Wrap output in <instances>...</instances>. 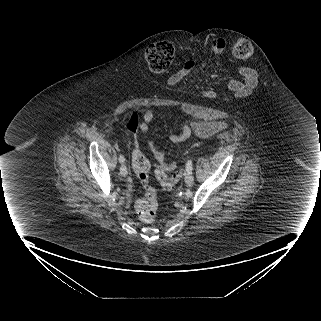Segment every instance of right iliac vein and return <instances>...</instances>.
<instances>
[{"mask_svg":"<svg viewBox=\"0 0 321 321\" xmlns=\"http://www.w3.org/2000/svg\"><path fill=\"white\" fill-rule=\"evenodd\" d=\"M120 173L122 176H127V168L125 164H122V166L120 167Z\"/></svg>","mask_w":321,"mask_h":321,"instance_id":"1","label":"right iliac vein"}]
</instances>
